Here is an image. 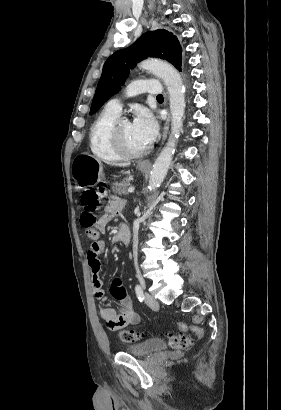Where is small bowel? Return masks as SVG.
<instances>
[{
	"label": "small bowel",
	"mask_w": 281,
	"mask_h": 410,
	"mask_svg": "<svg viewBox=\"0 0 281 410\" xmlns=\"http://www.w3.org/2000/svg\"><path fill=\"white\" fill-rule=\"evenodd\" d=\"M124 208V202L118 197H111L104 207V212L98 220L97 229L100 232H104L108 222L113 216L122 212ZM105 250V243L103 241H97L91 244L90 249L87 252V261L91 273V285L95 297L105 302L107 295L103 289V281L100 277L101 262L100 256ZM110 295L121 304L120 312L115 309L103 305L100 308V316L106 322L110 330H117L123 328L131 323L139 321V316L134 310V306L131 298L128 295L126 286L119 278L113 279L109 288Z\"/></svg>",
	"instance_id": "c3829d8e"
}]
</instances>
